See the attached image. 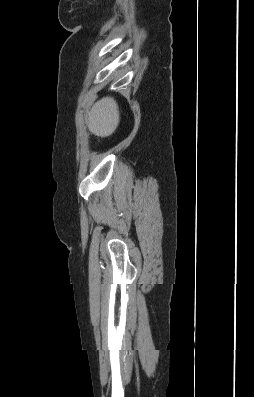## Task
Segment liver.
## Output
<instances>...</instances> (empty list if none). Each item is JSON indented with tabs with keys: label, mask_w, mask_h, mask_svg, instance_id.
<instances>
[{
	"label": "liver",
	"mask_w": 254,
	"mask_h": 397,
	"mask_svg": "<svg viewBox=\"0 0 254 397\" xmlns=\"http://www.w3.org/2000/svg\"><path fill=\"white\" fill-rule=\"evenodd\" d=\"M119 121L118 104L112 97H104L92 106L87 127L91 133L103 138L114 133Z\"/></svg>",
	"instance_id": "1"
}]
</instances>
